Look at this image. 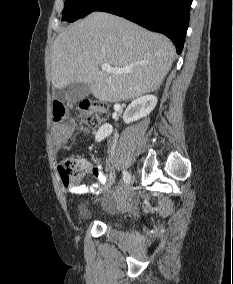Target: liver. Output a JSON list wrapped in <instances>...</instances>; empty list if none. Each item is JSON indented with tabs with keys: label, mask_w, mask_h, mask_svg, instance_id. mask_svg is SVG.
<instances>
[{
	"label": "liver",
	"mask_w": 233,
	"mask_h": 284,
	"mask_svg": "<svg viewBox=\"0 0 233 284\" xmlns=\"http://www.w3.org/2000/svg\"><path fill=\"white\" fill-rule=\"evenodd\" d=\"M175 47L164 35L130 21L93 12L54 41L51 80L56 89L87 83L102 102L131 100L157 90L171 69ZM103 63L127 73L100 70Z\"/></svg>",
	"instance_id": "6515ba94"
}]
</instances>
